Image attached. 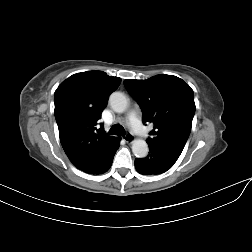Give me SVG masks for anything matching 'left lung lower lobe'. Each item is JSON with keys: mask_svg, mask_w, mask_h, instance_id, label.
Instances as JSON below:
<instances>
[{"mask_svg": "<svg viewBox=\"0 0 252 252\" xmlns=\"http://www.w3.org/2000/svg\"><path fill=\"white\" fill-rule=\"evenodd\" d=\"M149 154L134 161L136 170L143 175H158L168 171L180 154L165 146L148 143Z\"/></svg>", "mask_w": 252, "mask_h": 252, "instance_id": "left-lung-lower-lobe-1", "label": "left lung lower lobe"}]
</instances>
